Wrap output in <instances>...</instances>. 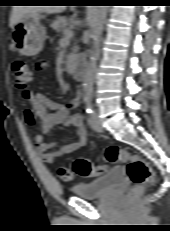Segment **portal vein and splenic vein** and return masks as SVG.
Masks as SVG:
<instances>
[{
    "instance_id": "portal-vein-and-splenic-vein-1",
    "label": "portal vein and splenic vein",
    "mask_w": 170,
    "mask_h": 231,
    "mask_svg": "<svg viewBox=\"0 0 170 231\" xmlns=\"http://www.w3.org/2000/svg\"><path fill=\"white\" fill-rule=\"evenodd\" d=\"M73 36V31L69 28L65 29L64 31V37L65 39H69Z\"/></svg>"
}]
</instances>
